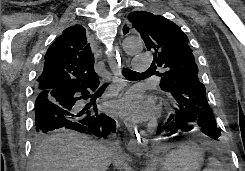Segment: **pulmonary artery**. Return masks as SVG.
Returning a JSON list of instances; mask_svg holds the SVG:
<instances>
[{"label":"pulmonary artery","mask_w":245,"mask_h":171,"mask_svg":"<svg viewBox=\"0 0 245 171\" xmlns=\"http://www.w3.org/2000/svg\"><path fill=\"white\" fill-rule=\"evenodd\" d=\"M136 71H144L150 65V60L147 55H136L133 58Z\"/></svg>","instance_id":"e3ab8cb5"}]
</instances>
